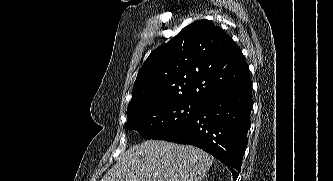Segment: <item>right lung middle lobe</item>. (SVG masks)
Segmentation results:
<instances>
[{
    "label": "right lung middle lobe",
    "mask_w": 333,
    "mask_h": 181,
    "mask_svg": "<svg viewBox=\"0 0 333 181\" xmlns=\"http://www.w3.org/2000/svg\"><path fill=\"white\" fill-rule=\"evenodd\" d=\"M201 102L164 100L127 112L125 130H136L146 139L167 140L179 133L195 116Z\"/></svg>",
    "instance_id": "right-lung-middle-lobe-1"
}]
</instances>
